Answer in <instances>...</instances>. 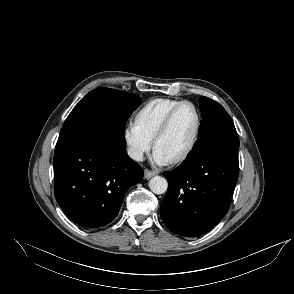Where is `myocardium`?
<instances>
[{
	"label": "myocardium",
	"instance_id": "f54148a6",
	"mask_svg": "<svg viewBox=\"0 0 294 294\" xmlns=\"http://www.w3.org/2000/svg\"><path fill=\"white\" fill-rule=\"evenodd\" d=\"M185 105L192 107V109L196 115V127L194 130V134L192 136V139L189 142L188 146L185 148V150L181 154H179L177 157H175L174 159H172L170 161L172 164H177V163L184 161L191 154V152L193 151V149L195 148V146L199 140V137L201 134V129H202V115H201V112H200L199 108L197 107V105L195 103H193L192 101H188V100H183V101L179 102L178 104H176L166 114V116L162 120L160 126L158 127V129L155 132V135L153 137V146L155 148L157 142L169 129L171 122H172L174 116L176 115V113L178 112V110Z\"/></svg>",
	"mask_w": 294,
	"mask_h": 294
}]
</instances>
